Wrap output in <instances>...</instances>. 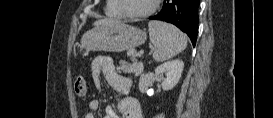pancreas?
Wrapping results in <instances>:
<instances>
[{"label":"pancreas","instance_id":"pancreas-1","mask_svg":"<svg viewBox=\"0 0 273 118\" xmlns=\"http://www.w3.org/2000/svg\"><path fill=\"white\" fill-rule=\"evenodd\" d=\"M132 61H134L132 59ZM120 70L123 71L124 73H133V72H137L139 69V66L137 63H133V64H128L125 61H120Z\"/></svg>","mask_w":273,"mask_h":118}]
</instances>
